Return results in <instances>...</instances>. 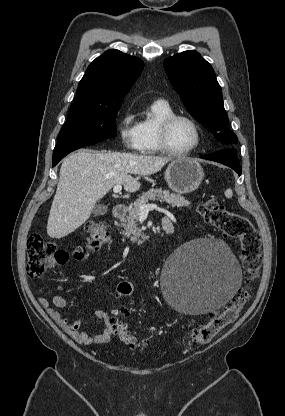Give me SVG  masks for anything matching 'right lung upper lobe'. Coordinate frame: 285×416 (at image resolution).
Returning <instances> with one entry per match:
<instances>
[{
	"instance_id": "obj_1",
	"label": "right lung upper lobe",
	"mask_w": 285,
	"mask_h": 416,
	"mask_svg": "<svg viewBox=\"0 0 285 416\" xmlns=\"http://www.w3.org/2000/svg\"><path fill=\"white\" fill-rule=\"evenodd\" d=\"M141 59L111 49L96 58L78 84L75 102L106 103L123 101L131 85L139 77Z\"/></svg>"
}]
</instances>
